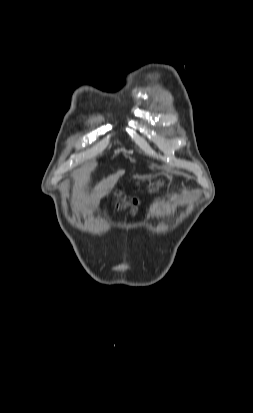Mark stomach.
<instances>
[{
    "label": "stomach",
    "mask_w": 253,
    "mask_h": 413,
    "mask_svg": "<svg viewBox=\"0 0 253 413\" xmlns=\"http://www.w3.org/2000/svg\"><path fill=\"white\" fill-rule=\"evenodd\" d=\"M159 185H161V184L158 183V184H157V187H159ZM151 186L153 187V184L150 183V184H149V191H150V192H152V189H150Z\"/></svg>",
    "instance_id": "obj_1"
}]
</instances>
